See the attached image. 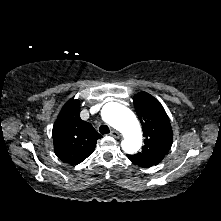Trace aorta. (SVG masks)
<instances>
[{"mask_svg": "<svg viewBox=\"0 0 221 221\" xmlns=\"http://www.w3.org/2000/svg\"><path fill=\"white\" fill-rule=\"evenodd\" d=\"M102 116L108 124L123 134L124 140L121 142V146L125 153L134 154L141 148V127L130 109L112 102L104 106Z\"/></svg>", "mask_w": 221, "mask_h": 221, "instance_id": "aorta-1", "label": "aorta"}]
</instances>
